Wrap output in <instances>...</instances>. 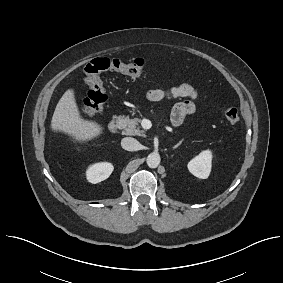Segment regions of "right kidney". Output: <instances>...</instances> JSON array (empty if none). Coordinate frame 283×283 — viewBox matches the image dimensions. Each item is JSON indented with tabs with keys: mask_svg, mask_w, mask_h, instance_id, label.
<instances>
[{
	"mask_svg": "<svg viewBox=\"0 0 283 283\" xmlns=\"http://www.w3.org/2000/svg\"><path fill=\"white\" fill-rule=\"evenodd\" d=\"M114 167L111 163L101 162L91 165L86 171L87 180L93 184L107 179Z\"/></svg>",
	"mask_w": 283,
	"mask_h": 283,
	"instance_id": "right-kidney-1",
	"label": "right kidney"
}]
</instances>
